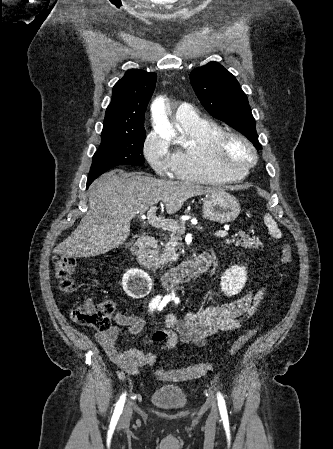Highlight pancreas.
Returning a JSON list of instances; mask_svg holds the SVG:
<instances>
[{
  "mask_svg": "<svg viewBox=\"0 0 333 449\" xmlns=\"http://www.w3.org/2000/svg\"><path fill=\"white\" fill-rule=\"evenodd\" d=\"M184 228V226H183ZM182 228V229H183ZM181 231L173 232L170 237L169 241L166 245H164V248L162 250V253L157 256V262L165 264L170 261H176L179 257V253H177V248H175L176 245H180L181 240ZM234 238L232 240H227V243H235L236 246H241L243 248H253L258 249L260 242L259 239L256 237H250L248 234H246L243 231L238 232L233 236Z\"/></svg>",
  "mask_w": 333,
  "mask_h": 449,
  "instance_id": "pancreas-1",
  "label": "pancreas"
}]
</instances>
